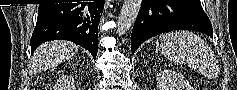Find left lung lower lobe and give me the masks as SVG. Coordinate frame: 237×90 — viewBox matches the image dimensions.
<instances>
[{"label": "left lung lower lobe", "instance_id": "0a47b994", "mask_svg": "<svg viewBox=\"0 0 237 90\" xmlns=\"http://www.w3.org/2000/svg\"><path fill=\"white\" fill-rule=\"evenodd\" d=\"M177 29L212 37V25L200 0H143L131 38L132 53L147 39Z\"/></svg>", "mask_w": 237, "mask_h": 90}]
</instances>
